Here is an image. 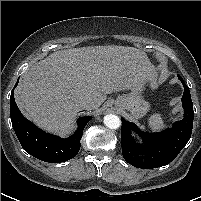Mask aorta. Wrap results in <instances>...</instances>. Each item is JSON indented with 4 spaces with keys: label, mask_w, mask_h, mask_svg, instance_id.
Here are the masks:
<instances>
[{
    "label": "aorta",
    "mask_w": 201,
    "mask_h": 201,
    "mask_svg": "<svg viewBox=\"0 0 201 201\" xmlns=\"http://www.w3.org/2000/svg\"><path fill=\"white\" fill-rule=\"evenodd\" d=\"M104 125L110 129H118L121 125V120L118 116L109 114L104 117Z\"/></svg>",
    "instance_id": "aorta-1"
}]
</instances>
